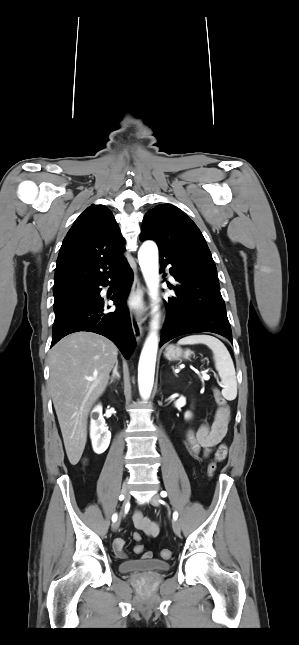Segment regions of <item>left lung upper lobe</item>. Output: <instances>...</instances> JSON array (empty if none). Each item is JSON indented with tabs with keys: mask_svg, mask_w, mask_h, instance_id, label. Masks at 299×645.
<instances>
[{
	"mask_svg": "<svg viewBox=\"0 0 299 645\" xmlns=\"http://www.w3.org/2000/svg\"><path fill=\"white\" fill-rule=\"evenodd\" d=\"M140 239L154 240L161 252L174 248L214 263L199 228L182 210L170 204H160L146 213Z\"/></svg>",
	"mask_w": 299,
	"mask_h": 645,
	"instance_id": "obj_1",
	"label": "left lung upper lobe"
}]
</instances>
